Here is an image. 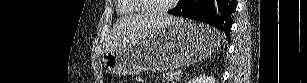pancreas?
Wrapping results in <instances>:
<instances>
[{"label":"pancreas","instance_id":"obj_1","mask_svg":"<svg viewBox=\"0 0 307 83\" xmlns=\"http://www.w3.org/2000/svg\"><path fill=\"white\" fill-rule=\"evenodd\" d=\"M175 75L176 73L175 72H166L163 74V78L167 81V82H170V83H175Z\"/></svg>","mask_w":307,"mask_h":83}]
</instances>
